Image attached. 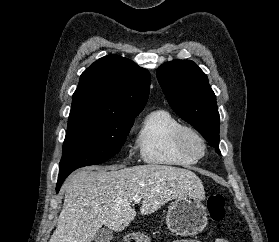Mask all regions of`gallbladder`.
<instances>
[{
	"instance_id": "obj_1",
	"label": "gallbladder",
	"mask_w": 279,
	"mask_h": 242,
	"mask_svg": "<svg viewBox=\"0 0 279 242\" xmlns=\"http://www.w3.org/2000/svg\"><path fill=\"white\" fill-rule=\"evenodd\" d=\"M113 238V233L110 229H100L94 237L95 242H110Z\"/></svg>"
}]
</instances>
